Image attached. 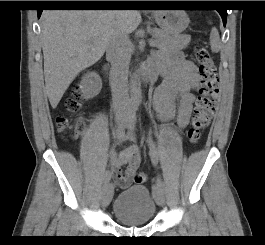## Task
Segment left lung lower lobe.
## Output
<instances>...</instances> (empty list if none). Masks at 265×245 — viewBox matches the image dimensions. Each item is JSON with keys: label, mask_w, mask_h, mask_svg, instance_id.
Wrapping results in <instances>:
<instances>
[{"label": "left lung lower lobe", "mask_w": 265, "mask_h": 245, "mask_svg": "<svg viewBox=\"0 0 265 245\" xmlns=\"http://www.w3.org/2000/svg\"><path fill=\"white\" fill-rule=\"evenodd\" d=\"M182 1H152L151 4L154 6H177L180 5ZM219 14L222 17L223 24L224 26L226 25V20H227V10L221 9L217 10Z\"/></svg>", "instance_id": "1"}]
</instances>
